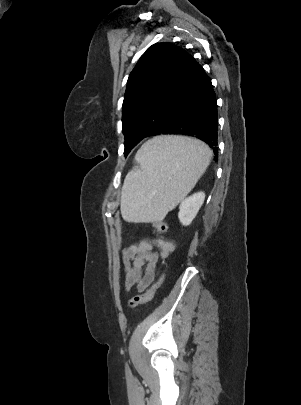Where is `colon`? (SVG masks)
Instances as JSON below:
<instances>
[{"instance_id":"1","label":"colon","mask_w":301,"mask_h":405,"mask_svg":"<svg viewBox=\"0 0 301 405\" xmlns=\"http://www.w3.org/2000/svg\"><path fill=\"white\" fill-rule=\"evenodd\" d=\"M153 227L160 233H165L168 230V225L165 222H155L153 223ZM163 280L164 274L162 273L156 280V282L145 293L136 295L129 300V307L136 308L139 305L149 302L153 298L156 290L162 284Z\"/></svg>"}]
</instances>
